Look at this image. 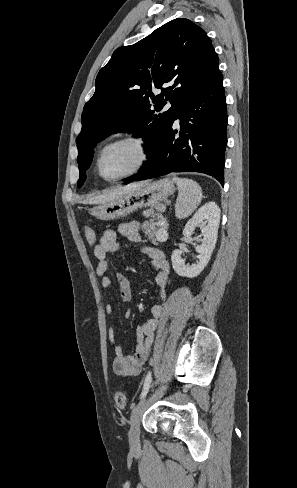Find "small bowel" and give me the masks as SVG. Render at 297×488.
<instances>
[{
    "label": "small bowel",
    "instance_id": "c3829d8e",
    "mask_svg": "<svg viewBox=\"0 0 297 488\" xmlns=\"http://www.w3.org/2000/svg\"><path fill=\"white\" fill-rule=\"evenodd\" d=\"M118 233L133 243H141L143 241L139 224L134 221L120 224L118 226ZM119 248L120 243L117 234L114 230L110 229L104 231L94 247V256L97 260L96 274L101 279L103 289H109L112 285L111 279L106 276L109 267L108 256L110 253L118 251ZM140 251L149 258L150 267L154 272V280L159 289L160 297L165 299L170 275V265L165 254L160 249L149 246H142ZM115 278L119 287L121 300L123 302H129L132 298L130 281L122 274H117ZM105 312L107 315H113L114 309L112 305H106ZM163 312L164 306L162 304H155L151 307V317L137 329L139 342L131 355L125 354L121 345L115 341L116 329L114 326L111 327L109 343L115 354L113 371L117 376L133 377L141 372L149 356L154 332L158 328L159 320Z\"/></svg>",
    "mask_w": 297,
    "mask_h": 488
}]
</instances>
